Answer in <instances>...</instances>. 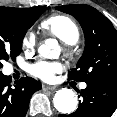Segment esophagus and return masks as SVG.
Instances as JSON below:
<instances>
[{
    "label": "esophagus",
    "instance_id": "1",
    "mask_svg": "<svg viewBox=\"0 0 117 117\" xmlns=\"http://www.w3.org/2000/svg\"><path fill=\"white\" fill-rule=\"evenodd\" d=\"M43 90L45 91H55L57 89V86H50V85H42Z\"/></svg>",
    "mask_w": 117,
    "mask_h": 117
}]
</instances>
